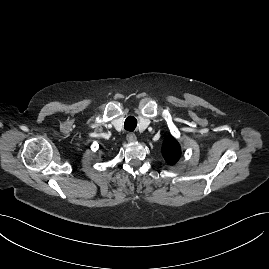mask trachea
I'll return each instance as SVG.
<instances>
[{
    "instance_id": "obj_1",
    "label": "trachea",
    "mask_w": 269,
    "mask_h": 269,
    "mask_svg": "<svg viewBox=\"0 0 269 269\" xmlns=\"http://www.w3.org/2000/svg\"><path fill=\"white\" fill-rule=\"evenodd\" d=\"M137 126V119L133 116H129L126 118L125 123H124V128L127 131H134V129Z\"/></svg>"
}]
</instances>
